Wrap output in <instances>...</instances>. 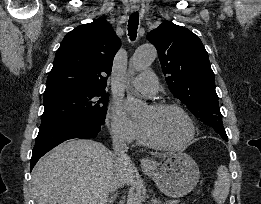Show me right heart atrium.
I'll return each mask as SVG.
<instances>
[{"mask_svg":"<svg viewBox=\"0 0 261 204\" xmlns=\"http://www.w3.org/2000/svg\"><path fill=\"white\" fill-rule=\"evenodd\" d=\"M106 124L113 138L127 144L138 140L140 125L128 116L120 103H111L107 113Z\"/></svg>","mask_w":261,"mask_h":204,"instance_id":"d8ad5b80","label":"right heart atrium"}]
</instances>
